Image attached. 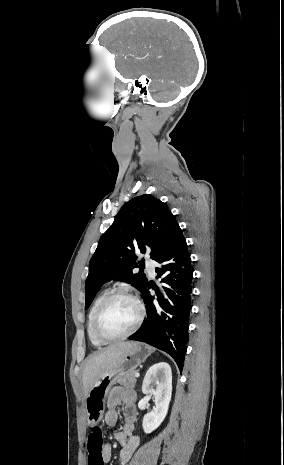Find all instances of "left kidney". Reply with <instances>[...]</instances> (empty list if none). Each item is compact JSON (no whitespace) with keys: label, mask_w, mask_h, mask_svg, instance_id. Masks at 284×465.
I'll use <instances>...</instances> for the list:
<instances>
[{"label":"left kidney","mask_w":284,"mask_h":465,"mask_svg":"<svg viewBox=\"0 0 284 465\" xmlns=\"http://www.w3.org/2000/svg\"><path fill=\"white\" fill-rule=\"evenodd\" d=\"M142 393L154 397L156 405L154 411L143 417V429L145 433H152L163 423L172 395V371L168 363H156L148 369L143 385Z\"/></svg>","instance_id":"1"}]
</instances>
